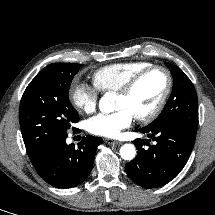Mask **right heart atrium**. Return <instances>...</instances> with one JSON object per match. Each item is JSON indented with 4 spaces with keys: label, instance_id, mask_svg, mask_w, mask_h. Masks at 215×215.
<instances>
[{
    "label": "right heart atrium",
    "instance_id": "1",
    "mask_svg": "<svg viewBox=\"0 0 215 215\" xmlns=\"http://www.w3.org/2000/svg\"><path fill=\"white\" fill-rule=\"evenodd\" d=\"M99 90L86 82H74L69 91V98L79 112L92 113L98 103Z\"/></svg>",
    "mask_w": 215,
    "mask_h": 215
}]
</instances>
